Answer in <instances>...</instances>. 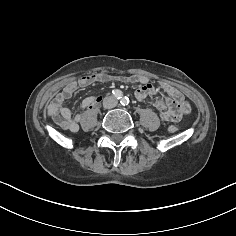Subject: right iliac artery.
I'll use <instances>...</instances> for the list:
<instances>
[{
    "mask_svg": "<svg viewBox=\"0 0 236 236\" xmlns=\"http://www.w3.org/2000/svg\"><path fill=\"white\" fill-rule=\"evenodd\" d=\"M112 94L116 99H122L123 94L120 90H118V89L113 90Z\"/></svg>",
    "mask_w": 236,
    "mask_h": 236,
    "instance_id": "right-iliac-artery-1",
    "label": "right iliac artery"
}]
</instances>
